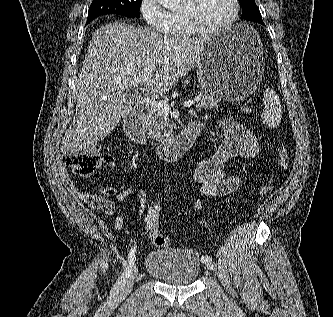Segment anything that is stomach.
Returning <instances> with one entry per match:
<instances>
[{"instance_id":"0dacf381","label":"stomach","mask_w":333,"mask_h":317,"mask_svg":"<svg viewBox=\"0 0 333 317\" xmlns=\"http://www.w3.org/2000/svg\"><path fill=\"white\" fill-rule=\"evenodd\" d=\"M196 67L205 91L218 99L235 102L260 95L263 47L258 33L237 23L210 36Z\"/></svg>"}]
</instances>
